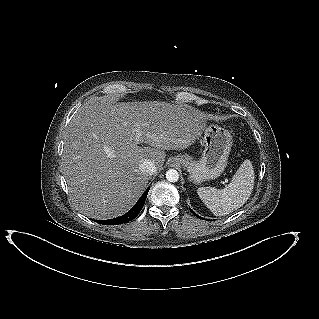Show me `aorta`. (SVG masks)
<instances>
[{"label": "aorta", "mask_w": 319, "mask_h": 319, "mask_svg": "<svg viewBox=\"0 0 319 319\" xmlns=\"http://www.w3.org/2000/svg\"><path fill=\"white\" fill-rule=\"evenodd\" d=\"M166 179L169 182H177L179 179V173L175 169H169L166 172Z\"/></svg>", "instance_id": "1"}]
</instances>
